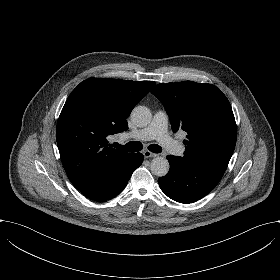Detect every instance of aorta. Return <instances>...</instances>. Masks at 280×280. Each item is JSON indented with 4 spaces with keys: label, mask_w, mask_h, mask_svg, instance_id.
Here are the masks:
<instances>
[{
    "label": "aorta",
    "mask_w": 280,
    "mask_h": 280,
    "mask_svg": "<svg viewBox=\"0 0 280 280\" xmlns=\"http://www.w3.org/2000/svg\"><path fill=\"white\" fill-rule=\"evenodd\" d=\"M152 120V114L147 107L137 106L131 112V121L137 127H146ZM150 170L157 177L165 176L169 171V163L166 158L156 157L151 161Z\"/></svg>",
    "instance_id": "762f6f07"
}]
</instances>
